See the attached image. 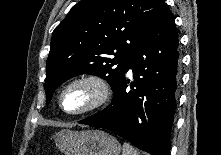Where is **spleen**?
Wrapping results in <instances>:
<instances>
[{"label":"spleen","mask_w":221,"mask_h":155,"mask_svg":"<svg viewBox=\"0 0 221 155\" xmlns=\"http://www.w3.org/2000/svg\"><path fill=\"white\" fill-rule=\"evenodd\" d=\"M122 155H139V153L133 146H131L129 143L125 142L123 144Z\"/></svg>","instance_id":"obj_1"}]
</instances>
